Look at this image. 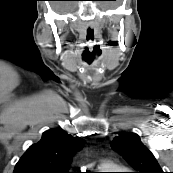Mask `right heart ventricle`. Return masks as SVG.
I'll return each mask as SVG.
<instances>
[{
    "label": "right heart ventricle",
    "mask_w": 173,
    "mask_h": 173,
    "mask_svg": "<svg viewBox=\"0 0 173 173\" xmlns=\"http://www.w3.org/2000/svg\"><path fill=\"white\" fill-rule=\"evenodd\" d=\"M109 167H110V165H108V164H103L101 168H103V169H108Z\"/></svg>",
    "instance_id": "1"
}]
</instances>
